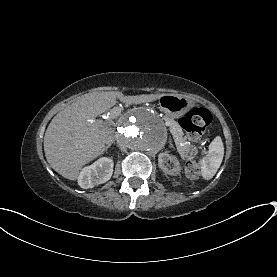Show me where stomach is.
<instances>
[{
  "label": "stomach",
  "instance_id": "stomach-1",
  "mask_svg": "<svg viewBox=\"0 0 277 277\" xmlns=\"http://www.w3.org/2000/svg\"><path fill=\"white\" fill-rule=\"evenodd\" d=\"M160 109L170 118H181L194 107V102L177 95L166 94L159 99Z\"/></svg>",
  "mask_w": 277,
  "mask_h": 277
}]
</instances>
